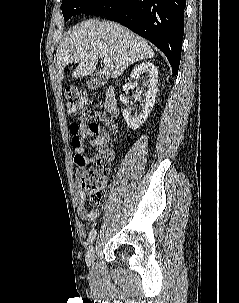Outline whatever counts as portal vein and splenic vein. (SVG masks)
Masks as SVG:
<instances>
[{
	"mask_svg": "<svg viewBox=\"0 0 239 303\" xmlns=\"http://www.w3.org/2000/svg\"><path fill=\"white\" fill-rule=\"evenodd\" d=\"M104 64H110L111 60L109 58H104Z\"/></svg>",
	"mask_w": 239,
	"mask_h": 303,
	"instance_id": "obj_1",
	"label": "portal vein and splenic vein"
}]
</instances>
